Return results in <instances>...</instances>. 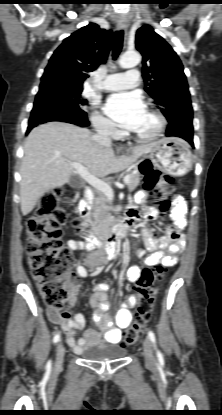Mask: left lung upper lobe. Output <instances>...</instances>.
I'll use <instances>...</instances> for the list:
<instances>
[{
    "instance_id": "obj_1",
    "label": "left lung upper lobe",
    "mask_w": 222,
    "mask_h": 415,
    "mask_svg": "<svg viewBox=\"0 0 222 415\" xmlns=\"http://www.w3.org/2000/svg\"><path fill=\"white\" fill-rule=\"evenodd\" d=\"M135 43L143 56L144 89L168 122L192 112L184 68L172 47L149 25L137 31Z\"/></svg>"
}]
</instances>
